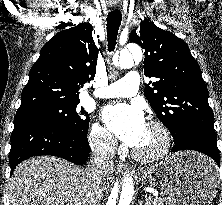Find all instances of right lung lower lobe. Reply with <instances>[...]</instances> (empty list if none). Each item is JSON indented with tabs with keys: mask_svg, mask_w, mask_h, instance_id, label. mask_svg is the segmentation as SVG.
<instances>
[{
	"mask_svg": "<svg viewBox=\"0 0 222 205\" xmlns=\"http://www.w3.org/2000/svg\"><path fill=\"white\" fill-rule=\"evenodd\" d=\"M90 151L87 135L43 120H16L9 153L11 173L21 161L38 155L58 156L82 165Z\"/></svg>",
	"mask_w": 222,
	"mask_h": 205,
	"instance_id": "98d812e1",
	"label": "right lung lower lobe"
}]
</instances>
